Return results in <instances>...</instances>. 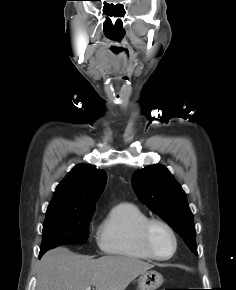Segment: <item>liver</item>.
Here are the masks:
<instances>
[{
    "label": "liver",
    "instance_id": "obj_1",
    "mask_svg": "<svg viewBox=\"0 0 236 290\" xmlns=\"http://www.w3.org/2000/svg\"><path fill=\"white\" fill-rule=\"evenodd\" d=\"M152 264L132 257L104 256L92 259L65 247L47 251L41 258L36 290H125Z\"/></svg>",
    "mask_w": 236,
    "mask_h": 290
}]
</instances>
